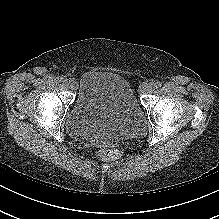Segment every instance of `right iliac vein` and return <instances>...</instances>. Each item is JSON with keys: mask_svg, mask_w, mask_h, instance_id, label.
Segmentation results:
<instances>
[{"mask_svg": "<svg viewBox=\"0 0 219 219\" xmlns=\"http://www.w3.org/2000/svg\"><path fill=\"white\" fill-rule=\"evenodd\" d=\"M64 84L69 88V89H75L76 88V81L74 79H69L65 80Z\"/></svg>", "mask_w": 219, "mask_h": 219, "instance_id": "63e3f726", "label": "right iliac vein"}]
</instances>
